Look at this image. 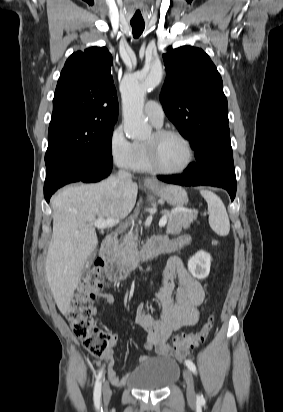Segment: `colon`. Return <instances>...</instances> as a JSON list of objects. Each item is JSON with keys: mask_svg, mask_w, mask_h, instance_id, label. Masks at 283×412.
<instances>
[{"mask_svg": "<svg viewBox=\"0 0 283 412\" xmlns=\"http://www.w3.org/2000/svg\"><path fill=\"white\" fill-rule=\"evenodd\" d=\"M102 282L103 266L97 260L75 289L65 307L72 333L95 357H101L106 353L112 339V334L99 326L93 318L92 304ZM214 319L215 316L212 313L200 331L174 337L172 339L174 351L186 352L202 344L213 328Z\"/></svg>", "mask_w": 283, "mask_h": 412, "instance_id": "obj_1", "label": "colon"}]
</instances>
